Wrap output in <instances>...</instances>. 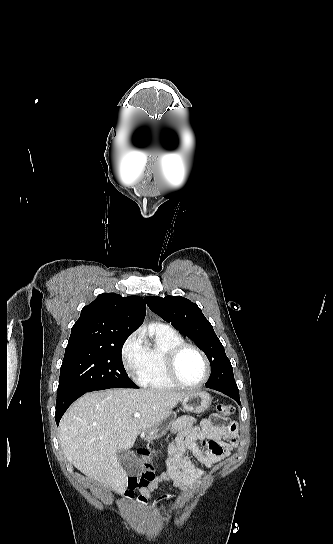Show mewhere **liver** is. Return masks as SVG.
<instances>
[{"instance_id":"1","label":"liver","mask_w":333,"mask_h":544,"mask_svg":"<svg viewBox=\"0 0 333 544\" xmlns=\"http://www.w3.org/2000/svg\"><path fill=\"white\" fill-rule=\"evenodd\" d=\"M187 392L166 389H109L88 393L67 410L59 425L66 459L89 478L122 494L127 473L117 451L169 416ZM139 412L138 418L134 414Z\"/></svg>"}]
</instances>
